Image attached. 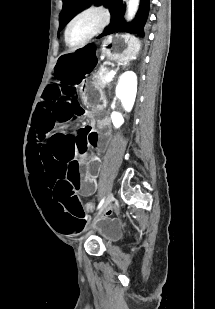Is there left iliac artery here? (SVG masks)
<instances>
[{
	"instance_id": "1",
	"label": "left iliac artery",
	"mask_w": 215,
	"mask_h": 309,
	"mask_svg": "<svg viewBox=\"0 0 215 309\" xmlns=\"http://www.w3.org/2000/svg\"><path fill=\"white\" fill-rule=\"evenodd\" d=\"M106 201H107L106 196H104V197L100 200V203H99L98 208H97V209L99 210V212L103 210V207H104V205L106 204Z\"/></svg>"
}]
</instances>
